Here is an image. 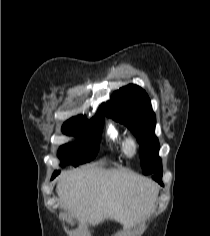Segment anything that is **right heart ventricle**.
I'll list each match as a JSON object with an SVG mask.
<instances>
[{
  "label": "right heart ventricle",
  "instance_id": "e07e8e85",
  "mask_svg": "<svg viewBox=\"0 0 210 236\" xmlns=\"http://www.w3.org/2000/svg\"><path fill=\"white\" fill-rule=\"evenodd\" d=\"M107 137L108 141L112 146H114L117 150L125 153L124 151V142L125 138L122 132L114 125H109L107 129Z\"/></svg>",
  "mask_w": 210,
  "mask_h": 236
}]
</instances>
